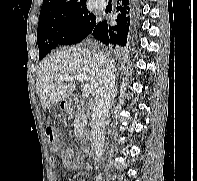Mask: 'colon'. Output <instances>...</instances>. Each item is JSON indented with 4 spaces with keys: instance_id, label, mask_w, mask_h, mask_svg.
<instances>
[{
    "instance_id": "1",
    "label": "colon",
    "mask_w": 197,
    "mask_h": 181,
    "mask_svg": "<svg viewBox=\"0 0 197 181\" xmlns=\"http://www.w3.org/2000/svg\"><path fill=\"white\" fill-rule=\"evenodd\" d=\"M46 140L52 150H57L61 144V137L57 129L53 126H48L45 131Z\"/></svg>"
}]
</instances>
